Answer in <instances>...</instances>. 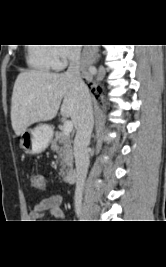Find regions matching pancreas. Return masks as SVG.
<instances>
[{
  "instance_id": "cf45deb5",
  "label": "pancreas",
  "mask_w": 166,
  "mask_h": 267,
  "mask_svg": "<svg viewBox=\"0 0 166 267\" xmlns=\"http://www.w3.org/2000/svg\"><path fill=\"white\" fill-rule=\"evenodd\" d=\"M51 149L58 154L60 175L64 177L68 170L73 168L72 141L69 135L64 134L63 131H56Z\"/></svg>"
}]
</instances>
